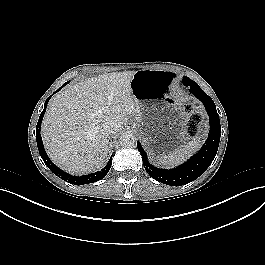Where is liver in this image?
Returning a JSON list of instances; mask_svg holds the SVG:
<instances>
[{
    "instance_id": "1",
    "label": "liver",
    "mask_w": 265,
    "mask_h": 265,
    "mask_svg": "<svg viewBox=\"0 0 265 265\" xmlns=\"http://www.w3.org/2000/svg\"><path fill=\"white\" fill-rule=\"evenodd\" d=\"M134 71L88 78L56 94L42 123V139L51 160L72 174H88L104 167L109 141L102 134L106 121L116 133L139 111L132 94Z\"/></svg>"
}]
</instances>
